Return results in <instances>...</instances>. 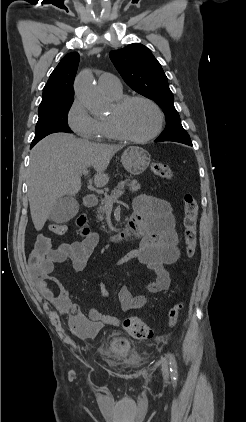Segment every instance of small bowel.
I'll return each instance as SVG.
<instances>
[{
  "label": "small bowel",
  "mask_w": 246,
  "mask_h": 422,
  "mask_svg": "<svg viewBox=\"0 0 246 422\" xmlns=\"http://www.w3.org/2000/svg\"><path fill=\"white\" fill-rule=\"evenodd\" d=\"M133 218L139 224V248L121 257L103 271L99 289L104 297L108 296L105 284L108 272L131 260L155 273L153 279L144 282L148 291L160 292L170 286V274L166 266L177 262L181 254L171 204L165 199L141 194L134 201ZM98 242L99 237L93 232L88 233L81 241L59 244L49 253L51 268L47 275L35 280L36 288L42 297L53 304L60 313L69 314L71 330L83 338L93 337L104 325L119 326L120 318L104 314L94 308L89 309L87 314L83 313L79 305L71 301L68 290L56 278L50 277V274L55 264H66L76 271H83ZM47 280L57 285V293L49 287ZM118 299L124 312L141 309L146 303L145 296L133 294L126 286L120 288Z\"/></svg>",
  "instance_id": "obj_1"
}]
</instances>
